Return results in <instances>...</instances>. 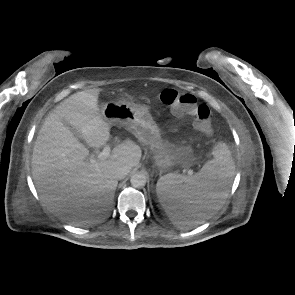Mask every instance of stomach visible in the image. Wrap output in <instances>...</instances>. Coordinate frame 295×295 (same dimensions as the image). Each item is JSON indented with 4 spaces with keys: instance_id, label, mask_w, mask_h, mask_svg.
<instances>
[{
    "instance_id": "stomach-1",
    "label": "stomach",
    "mask_w": 295,
    "mask_h": 295,
    "mask_svg": "<svg viewBox=\"0 0 295 295\" xmlns=\"http://www.w3.org/2000/svg\"><path fill=\"white\" fill-rule=\"evenodd\" d=\"M101 114L107 122L125 126L143 144L149 146L154 166L161 171L170 169L182 160L183 148L162 140L149 107L126 100L111 101L103 105Z\"/></svg>"
}]
</instances>
